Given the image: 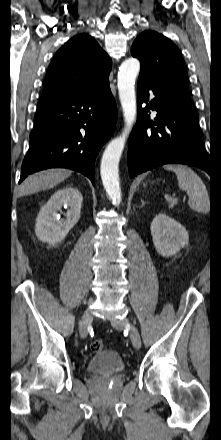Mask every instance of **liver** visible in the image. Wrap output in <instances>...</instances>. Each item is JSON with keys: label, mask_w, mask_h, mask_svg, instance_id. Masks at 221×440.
<instances>
[{"label": "liver", "mask_w": 221, "mask_h": 440, "mask_svg": "<svg viewBox=\"0 0 221 440\" xmlns=\"http://www.w3.org/2000/svg\"><path fill=\"white\" fill-rule=\"evenodd\" d=\"M67 169H49L29 176L19 187L20 195H29L55 187L71 175Z\"/></svg>", "instance_id": "liver-1"}]
</instances>
